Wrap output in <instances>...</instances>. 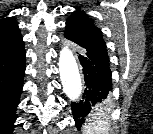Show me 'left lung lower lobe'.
<instances>
[{"mask_svg":"<svg viewBox=\"0 0 153 134\" xmlns=\"http://www.w3.org/2000/svg\"><path fill=\"white\" fill-rule=\"evenodd\" d=\"M79 60L83 67L86 89L83 99L71 105L78 128L84 123V117L92 107L106 99L112 89L109 59L86 52L84 55H79Z\"/></svg>","mask_w":153,"mask_h":134,"instance_id":"obj_1","label":"left lung lower lobe"}]
</instances>
